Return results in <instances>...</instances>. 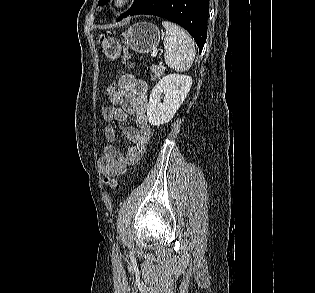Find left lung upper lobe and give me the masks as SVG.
Segmentation results:
<instances>
[{
    "label": "left lung upper lobe",
    "mask_w": 315,
    "mask_h": 293,
    "mask_svg": "<svg viewBox=\"0 0 315 293\" xmlns=\"http://www.w3.org/2000/svg\"><path fill=\"white\" fill-rule=\"evenodd\" d=\"M142 1H143V0H135L133 6H132L127 12H125V13L119 18V20H121L123 17L128 16L135 8H137V7L140 5V3H141ZM108 2H109V0H99L98 5L101 6V5H104V4L108 3Z\"/></svg>",
    "instance_id": "obj_1"
}]
</instances>
